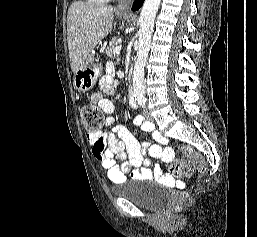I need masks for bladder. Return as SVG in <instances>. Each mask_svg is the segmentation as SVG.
Listing matches in <instances>:
<instances>
[{"label": "bladder", "mask_w": 257, "mask_h": 237, "mask_svg": "<svg viewBox=\"0 0 257 237\" xmlns=\"http://www.w3.org/2000/svg\"><path fill=\"white\" fill-rule=\"evenodd\" d=\"M146 183L144 180L123 181L114 185L112 192L146 210H156L165 206L170 199L168 192L143 187L142 184Z\"/></svg>", "instance_id": "1"}]
</instances>
